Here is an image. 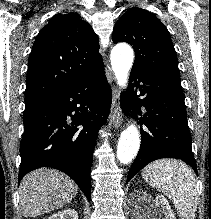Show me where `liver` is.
Masks as SVG:
<instances>
[{
    "mask_svg": "<svg viewBox=\"0 0 211 219\" xmlns=\"http://www.w3.org/2000/svg\"><path fill=\"white\" fill-rule=\"evenodd\" d=\"M78 186L63 172L40 168L20 184V208L25 217H36L62 208L76 196Z\"/></svg>",
    "mask_w": 211,
    "mask_h": 219,
    "instance_id": "6515ba94",
    "label": "liver"
}]
</instances>
